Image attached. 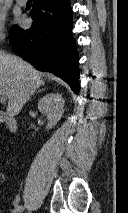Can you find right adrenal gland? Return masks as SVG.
I'll use <instances>...</instances> for the list:
<instances>
[{
    "mask_svg": "<svg viewBox=\"0 0 128 213\" xmlns=\"http://www.w3.org/2000/svg\"><path fill=\"white\" fill-rule=\"evenodd\" d=\"M44 90H45V88H42V89L38 90L36 93L42 92Z\"/></svg>",
    "mask_w": 128,
    "mask_h": 213,
    "instance_id": "2a0ac1e0",
    "label": "right adrenal gland"
}]
</instances>
